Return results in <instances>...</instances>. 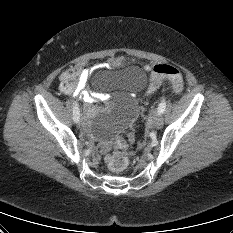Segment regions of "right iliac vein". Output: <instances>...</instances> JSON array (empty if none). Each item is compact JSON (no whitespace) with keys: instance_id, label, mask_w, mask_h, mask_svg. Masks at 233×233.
Wrapping results in <instances>:
<instances>
[{"instance_id":"obj_1","label":"right iliac vein","mask_w":233,"mask_h":233,"mask_svg":"<svg viewBox=\"0 0 233 233\" xmlns=\"http://www.w3.org/2000/svg\"><path fill=\"white\" fill-rule=\"evenodd\" d=\"M75 128L79 129V130H82L84 128V125L81 122H76L75 123Z\"/></svg>"}]
</instances>
